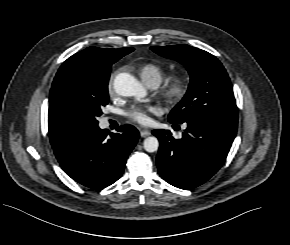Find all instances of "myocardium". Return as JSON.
I'll return each mask as SVG.
<instances>
[{
	"instance_id": "myocardium-1",
	"label": "myocardium",
	"mask_w": 290,
	"mask_h": 245,
	"mask_svg": "<svg viewBox=\"0 0 290 245\" xmlns=\"http://www.w3.org/2000/svg\"><path fill=\"white\" fill-rule=\"evenodd\" d=\"M188 87V78L184 75H177L167 82L160 95L167 103H177L186 95Z\"/></svg>"
}]
</instances>
